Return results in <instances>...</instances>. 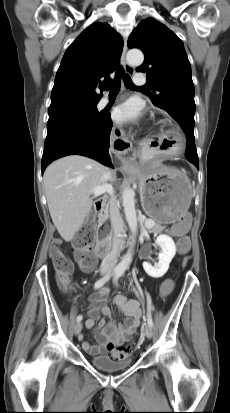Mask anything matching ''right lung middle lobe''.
Wrapping results in <instances>:
<instances>
[{"instance_id": "right-lung-middle-lobe-1", "label": "right lung middle lobe", "mask_w": 230, "mask_h": 413, "mask_svg": "<svg viewBox=\"0 0 230 413\" xmlns=\"http://www.w3.org/2000/svg\"><path fill=\"white\" fill-rule=\"evenodd\" d=\"M96 104H63L51 107L48 110L47 127L62 121L97 120L101 114L98 112Z\"/></svg>"}]
</instances>
